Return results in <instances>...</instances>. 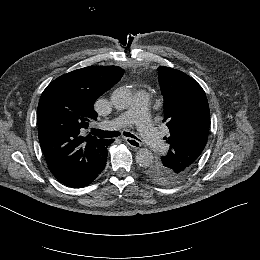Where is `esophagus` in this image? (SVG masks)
<instances>
[{"mask_svg": "<svg viewBox=\"0 0 260 260\" xmlns=\"http://www.w3.org/2000/svg\"><path fill=\"white\" fill-rule=\"evenodd\" d=\"M125 141L129 146H131L133 148L139 149L141 147V143L136 139L126 137Z\"/></svg>", "mask_w": 260, "mask_h": 260, "instance_id": "34e87169", "label": "esophagus"}]
</instances>
